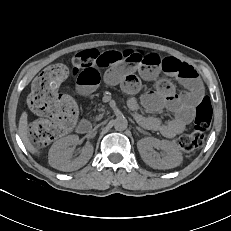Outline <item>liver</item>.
<instances>
[{"instance_id":"obj_1","label":"liver","mask_w":231,"mask_h":231,"mask_svg":"<svg viewBox=\"0 0 231 231\" xmlns=\"http://www.w3.org/2000/svg\"><path fill=\"white\" fill-rule=\"evenodd\" d=\"M27 113L23 112L20 119H19V126H18V131L19 135L27 148L29 152H31L34 155H38L39 151L36 147L33 146V144L30 142L28 138V120H27Z\"/></svg>"}]
</instances>
